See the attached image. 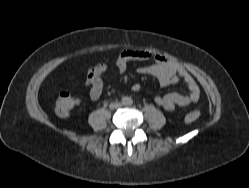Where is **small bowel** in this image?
<instances>
[{"mask_svg": "<svg viewBox=\"0 0 249 188\" xmlns=\"http://www.w3.org/2000/svg\"><path fill=\"white\" fill-rule=\"evenodd\" d=\"M131 61L150 62L139 67L138 72L156 78L162 87L174 85L180 80L185 83L187 88L185 94L172 92L155 97L156 104L165 110L173 111L177 107H185L198 101L200 88L194 77L179 63L146 50H125L118 56L116 66L120 72H124ZM107 68V64L99 63L88 69L86 87L92 101H96L102 96L103 76ZM133 90L137 91L138 85H134Z\"/></svg>", "mask_w": 249, "mask_h": 188, "instance_id": "1", "label": "small bowel"}]
</instances>
